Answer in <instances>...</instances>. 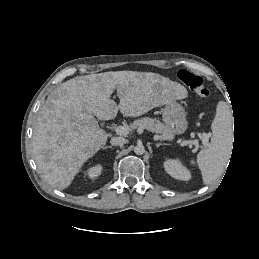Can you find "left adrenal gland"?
Masks as SVG:
<instances>
[{
    "instance_id": "obj_1",
    "label": "left adrenal gland",
    "mask_w": 259,
    "mask_h": 259,
    "mask_svg": "<svg viewBox=\"0 0 259 259\" xmlns=\"http://www.w3.org/2000/svg\"><path fill=\"white\" fill-rule=\"evenodd\" d=\"M162 145H169V144H166V143H157V144H156V147H160V146H162Z\"/></svg>"
}]
</instances>
